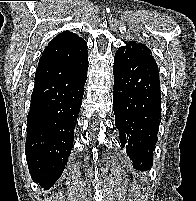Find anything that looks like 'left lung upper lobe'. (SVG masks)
I'll use <instances>...</instances> for the list:
<instances>
[{"label": "left lung upper lobe", "instance_id": "left-lung-upper-lobe-1", "mask_svg": "<svg viewBox=\"0 0 196 201\" xmlns=\"http://www.w3.org/2000/svg\"><path fill=\"white\" fill-rule=\"evenodd\" d=\"M129 43L136 45L137 47L141 48L142 50H144L145 52L151 54V51L143 44L141 43H137L136 41H130Z\"/></svg>", "mask_w": 196, "mask_h": 201}]
</instances>
